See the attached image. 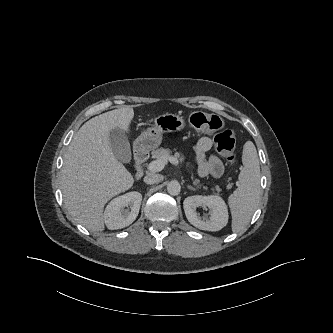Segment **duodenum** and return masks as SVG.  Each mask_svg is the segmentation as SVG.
<instances>
[{"label":"duodenum","instance_id":"410a0bca","mask_svg":"<svg viewBox=\"0 0 333 333\" xmlns=\"http://www.w3.org/2000/svg\"><path fill=\"white\" fill-rule=\"evenodd\" d=\"M147 158V154L144 150L138 149L134 152V163L137 168L136 177L139 179L142 175V166Z\"/></svg>","mask_w":333,"mask_h":333}]
</instances>
